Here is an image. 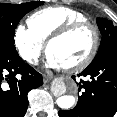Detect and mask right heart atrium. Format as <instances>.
<instances>
[{
  "mask_svg": "<svg viewBox=\"0 0 117 117\" xmlns=\"http://www.w3.org/2000/svg\"><path fill=\"white\" fill-rule=\"evenodd\" d=\"M14 45L20 57L30 65H36L43 52L44 43L29 28L16 26L13 35Z\"/></svg>",
  "mask_w": 117,
  "mask_h": 117,
  "instance_id": "1",
  "label": "right heart atrium"
}]
</instances>
